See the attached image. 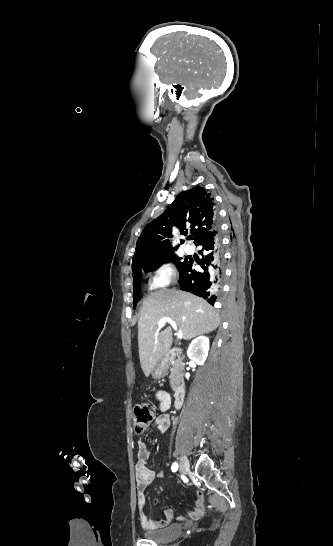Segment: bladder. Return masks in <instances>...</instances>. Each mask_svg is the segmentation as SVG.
<instances>
[{
	"mask_svg": "<svg viewBox=\"0 0 333 546\" xmlns=\"http://www.w3.org/2000/svg\"><path fill=\"white\" fill-rule=\"evenodd\" d=\"M181 532L182 526L179 523H171L163 528L145 530L142 536L157 543H164L175 539Z\"/></svg>",
	"mask_w": 333,
	"mask_h": 546,
	"instance_id": "31cf9c89",
	"label": "bladder"
}]
</instances>
